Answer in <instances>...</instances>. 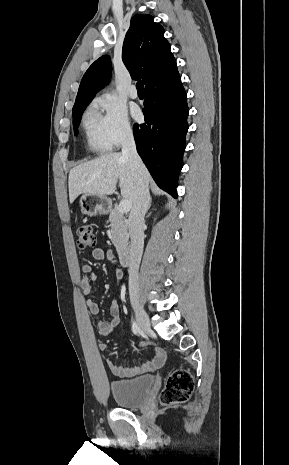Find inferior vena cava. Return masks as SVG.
Returning a JSON list of instances; mask_svg holds the SVG:
<instances>
[{"label":"inferior vena cava","mask_w":289,"mask_h":465,"mask_svg":"<svg viewBox=\"0 0 289 465\" xmlns=\"http://www.w3.org/2000/svg\"><path fill=\"white\" fill-rule=\"evenodd\" d=\"M122 155L130 161L132 170L136 174V201L131 209L128 226L131 239L129 265V294L131 301L138 300L139 284L138 270L144 246L143 224L147 212L150 194L148 182L143 177L145 166L139 157L132 130L128 129L122 137Z\"/></svg>","instance_id":"obj_1"}]
</instances>
